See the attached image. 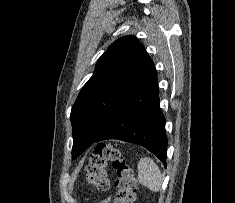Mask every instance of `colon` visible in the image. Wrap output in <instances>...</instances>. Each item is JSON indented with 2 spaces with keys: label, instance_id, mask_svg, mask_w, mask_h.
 Here are the masks:
<instances>
[{
  "label": "colon",
  "instance_id": "colon-1",
  "mask_svg": "<svg viewBox=\"0 0 235 203\" xmlns=\"http://www.w3.org/2000/svg\"><path fill=\"white\" fill-rule=\"evenodd\" d=\"M116 172V193L113 203H133L136 198L137 182L132 168L126 163L121 152L109 144L98 145L89 158L85 169L87 181L98 191L109 188V165Z\"/></svg>",
  "mask_w": 235,
  "mask_h": 203
}]
</instances>
